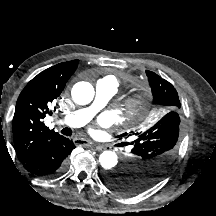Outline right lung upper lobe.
<instances>
[{
  "mask_svg": "<svg viewBox=\"0 0 216 216\" xmlns=\"http://www.w3.org/2000/svg\"><path fill=\"white\" fill-rule=\"evenodd\" d=\"M78 62H63L42 71L20 93L13 118V139L22 164L59 136L45 126L44 118L52 114L50 106L61 94Z\"/></svg>",
  "mask_w": 216,
  "mask_h": 216,
  "instance_id": "cb5924a9",
  "label": "right lung upper lobe"
}]
</instances>
